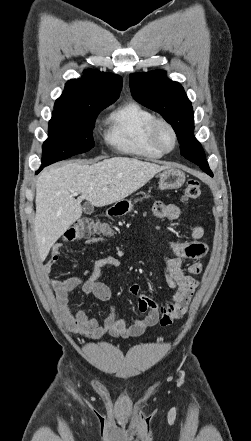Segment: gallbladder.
<instances>
[{
  "mask_svg": "<svg viewBox=\"0 0 251 441\" xmlns=\"http://www.w3.org/2000/svg\"><path fill=\"white\" fill-rule=\"evenodd\" d=\"M83 211L85 214H92L94 211V206L89 202H86L83 206Z\"/></svg>",
  "mask_w": 251,
  "mask_h": 441,
  "instance_id": "obj_1",
  "label": "gallbladder"
}]
</instances>
